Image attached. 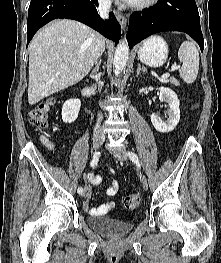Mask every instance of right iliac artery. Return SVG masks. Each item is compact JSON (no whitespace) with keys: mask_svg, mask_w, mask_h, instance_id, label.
I'll list each match as a JSON object with an SVG mask.
<instances>
[{"mask_svg":"<svg viewBox=\"0 0 221 263\" xmlns=\"http://www.w3.org/2000/svg\"><path fill=\"white\" fill-rule=\"evenodd\" d=\"M99 161V153L98 152H95L94 156H93V159L91 160L90 162V166L91 167H95L97 165ZM77 192L80 194L83 192V188L82 187H79Z\"/></svg>","mask_w":221,"mask_h":263,"instance_id":"obj_1","label":"right iliac artery"}]
</instances>
